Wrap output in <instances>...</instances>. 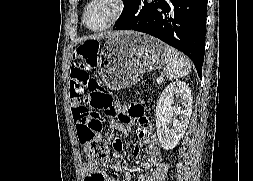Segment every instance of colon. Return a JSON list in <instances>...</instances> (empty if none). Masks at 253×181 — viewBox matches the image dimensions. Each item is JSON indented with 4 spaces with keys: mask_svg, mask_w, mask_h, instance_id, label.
<instances>
[{
    "mask_svg": "<svg viewBox=\"0 0 253 181\" xmlns=\"http://www.w3.org/2000/svg\"><path fill=\"white\" fill-rule=\"evenodd\" d=\"M101 42L88 38L73 53L75 60H97ZM74 119L80 144L91 167H103L108 160L107 145L102 138L105 117L116 112V97L104 91L97 80H90L87 92L73 98ZM90 177V176H89Z\"/></svg>",
    "mask_w": 253,
    "mask_h": 181,
    "instance_id": "1",
    "label": "colon"
}]
</instances>
